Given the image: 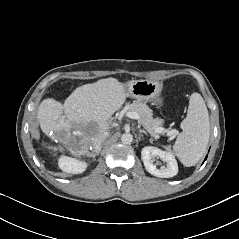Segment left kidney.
I'll return each mask as SVG.
<instances>
[{"label": "left kidney", "mask_w": 239, "mask_h": 239, "mask_svg": "<svg viewBox=\"0 0 239 239\" xmlns=\"http://www.w3.org/2000/svg\"><path fill=\"white\" fill-rule=\"evenodd\" d=\"M141 156L145 169L156 177L170 178L178 173L177 161L171 152L147 146L142 149ZM156 157L166 162V167L157 168L156 164H154Z\"/></svg>", "instance_id": "obj_1"}]
</instances>
